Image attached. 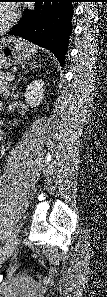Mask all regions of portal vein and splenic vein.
<instances>
[{
    "label": "portal vein and splenic vein",
    "instance_id": "obj_1",
    "mask_svg": "<svg viewBox=\"0 0 107 297\" xmlns=\"http://www.w3.org/2000/svg\"><path fill=\"white\" fill-rule=\"evenodd\" d=\"M14 80V75H11L10 77H8V81H13Z\"/></svg>",
    "mask_w": 107,
    "mask_h": 297
}]
</instances>
